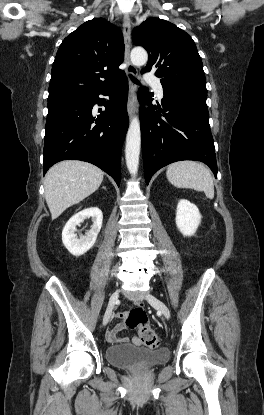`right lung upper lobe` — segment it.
I'll return each instance as SVG.
<instances>
[{"label":"right lung upper lobe","mask_w":264,"mask_h":415,"mask_svg":"<svg viewBox=\"0 0 264 415\" xmlns=\"http://www.w3.org/2000/svg\"><path fill=\"white\" fill-rule=\"evenodd\" d=\"M121 31L103 18L82 24L61 43L51 71L48 102L80 97L110 86L124 72Z\"/></svg>","instance_id":"obj_1"}]
</instances>
